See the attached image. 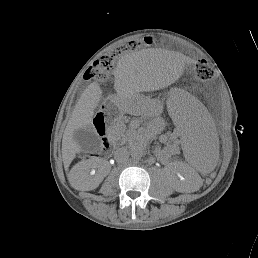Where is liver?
<instances>
[{"mask_svg":"<svg viewBox=\"0 0 258 258\" xmlns=\"http://www.w3.org/2000/svg\"><path fill=\"white\" fill-rule=\"evenodd\" d=\"M128 62L127 68L119 64L115 74L114 88L118 96L126 100L133 90V84L139 76H163L167 75L158 63L140 60L139 56L132 55L122 60ZM102 97V90L98 83H91L82 93L78 100L71 118L66 126L62 139V159L65 168H68L76 154L81 151L78 143L73 139L74 132L80 128H85L91 124L94 110ZM78 170L74 166L69 175L70 184L77 190H90L93 183L86 181L85 178H76L74 171Z\"/></svg>","mask_w":258,"mask_h":258,"instance_id":"obj_1","label":"liver"}]
</instances>
